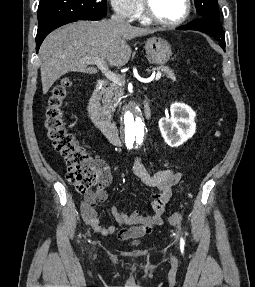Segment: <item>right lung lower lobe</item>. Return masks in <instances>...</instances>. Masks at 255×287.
I'll use <instances>...</instances> for the list:
<instances>
[{"label":"right lung lower lobe","instance_id":"right-lung-lower-lobe-1","mask_svg":"<svg viewBox=\"0 0 255 287\" xmlns=\"http://www.w3.org/2000/svg\"><path fill=\"white\" fill-rule=\"evenodd\" d=\"M80 19L70 18V19H63L56 22L48 23L42 26H38L37 36H36V52L39 50V46L43 42L44 38L54 29L65 25L67 23L75 22Z\"/></svg>","mask_w":255,"mask_h":287}]
</instances>
